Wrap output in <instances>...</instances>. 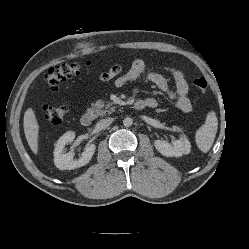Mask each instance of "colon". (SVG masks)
<instances>
[{
	"label": "colon",
	"mask_w": 249,
	"mask_h": 249,
	"mask_svg": "<svg viewBox=\"0 0 249 249\" xmlns=\"http://www.w3.org/2000/svg\"><path fill=\"white\" fill-rule=\"evenodd\" d=\"M84 70L85 68L79 64H62L51 68L46 74L45 79L49 88L54 92H58L61 82L81 74ZM193 84L202 93H205L208 89L207 81L204 78L194 79ZM42 111V117L44 119L53 124H59L66 118L68 108L65 105H45Z\"/></svg>",
	"instance_id": "5ec220e1"
}]
</instances>
